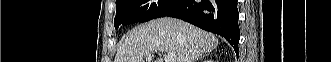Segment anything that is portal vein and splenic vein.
<instances>
[{"label": "portal vein and splenic vein", "instance_id": "18ae733b", "mask_svg": "<svg viewBox=\"0 0 331 62\" xmlns=\"http://www.w3.org/2000/svg\"><path fill=\"white\" fill-rule=\"evenodd\" d=\"M146 59H151V54L148 53L145 55ZM164 62H175V56L172 54H165L164 55Z\"/></svg>", "mask_w": 331, "mask_h": 62}]
</instances>
